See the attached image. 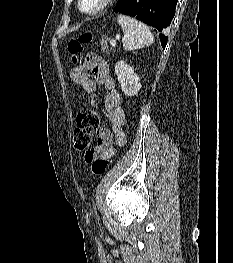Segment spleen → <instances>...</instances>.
I'll return each instance as SVG.
<instances>
[{"label": "spleen", "mask_w": 233, "mask_h": 263, "mask_svg": "<svg viewBox=\"0 0 233 263\" xmlns=\"http://www.w3.org/2000/svg\"><path fill=\"white\" fill-rule=\"evenodd\" d=\"M118 23L124 33L123 48L126 51L148 47L154 42L152 32L144 23L122 14L118 15Z\"/></svg>", "instance_id": "spleen-1"}]
</instances>
